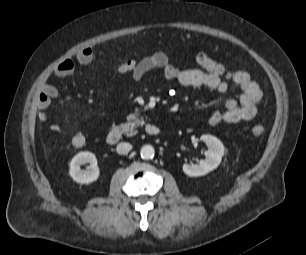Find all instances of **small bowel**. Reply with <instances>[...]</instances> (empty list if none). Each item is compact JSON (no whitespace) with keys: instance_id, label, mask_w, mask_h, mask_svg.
Segmentation results:
<instances>
[{"instance_id":"c3829d8e","label":"small bowel","mask_w":306,"mask_h":255,"mask_svg":"<svg viewBox=\"0 0 306 255\" xmlns=\"http://www.w3.org/2000/svg\"><path fill=\"white\" fill-rule=\"evenodd\" d=\"M75 59L81 64H88L93 59L90 48H83L77 52ZM130 67L127 72L131 73L135 81L143 78L154 70H162L163 77L167 81H174L183 87H205L227 95L230 83L238 86L241 93L238 98L227 97L222 109L216 110L209 118V124L218 126L221 124H236L241 121L252 120L257 113V106L262 99V91L256 81L242 70H230L222 63L214 60L206 52L196 55V63L199 68H180L170 63L168 55L163 51H155L140 60H127ZM74 61L66 59L54 70V76L65 77L72 73ZM58 96L57 87L50 81L41 84L37 97L38 118L46 120V110L54 98ZM67 111L64 114L67 115ZM50 130L55 133L61 132L57 124L50 125Z\"/></svg>"}]
</instances>
